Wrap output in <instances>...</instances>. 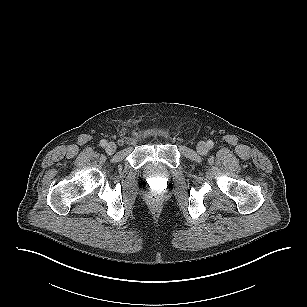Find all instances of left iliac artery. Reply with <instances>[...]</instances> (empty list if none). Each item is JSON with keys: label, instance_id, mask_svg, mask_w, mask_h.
<instances>
[{"label": "left iliac artery", "instance_id": "obj_1", "mask_svg": "<svg viewBox=\"0 0 307 307\" xmlns=\"http://www.w3.org/2000/svg\"><path fill=\"white\" fill-rule=\"evenodd\" d=\"M207 145L209 148H213L214 142L212 140L207 141Z\"/></svg>", "mask_w": 307, "mask_h": 307}]
</instances>
